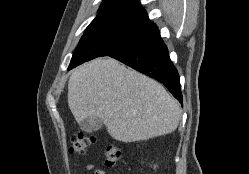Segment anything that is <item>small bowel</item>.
Wrapping results in <instances>:
<instances>
[{
  "label": "small bowel",
  "instance_id": "obj_1",
  "mask_svg": "<svg viewBox=\"0 0 249 174\" xmlns=\"http://www.w3.org/2000/svg\"><path fill=\"white\" fill-rule=\"evenodd\" d=\"M90 171H93V174H106V172L103 169H98L93 164L87 165L81 173L85 174Z\"/></svg>",
  "mask_w": 249,
  "mask_h": 174
}]
</instances>
